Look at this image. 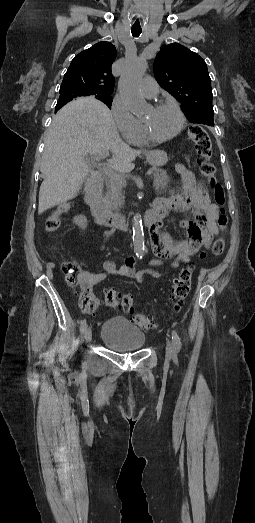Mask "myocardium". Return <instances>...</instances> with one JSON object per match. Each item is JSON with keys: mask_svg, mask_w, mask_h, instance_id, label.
I'll return each instance as SVG.
<instances>
[{"mask_svg": "<svg viewBox=\"0 0 255 523\" xmlns=\"http://www.w3.org/2000/svg\"><path fill=\"white\" fill-rule=\"evenodd\" d=\"M164 106H171L177 112V114L179 116L178 128L176 129L175 132H173L172 134H170L168 136L157 137V136H154V135H152L150 133L147 125L141 120L140 121V130H141V135H142V137H143V139L145 141H147V142H154V143H161V142L169 141V140H172L175 137H177L181 133V131L183 130L184 125H185V116H184L183 111L179 107V105L176 104L175 102H172V101H160V102L154 104L152 106V108L154 110H157V109H159L161 107H164Z\"/></svg>", "mask_w": 255, "mask_h": 523, "instance_id": "1", "label": "myocardium"}]
</instances>
